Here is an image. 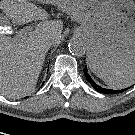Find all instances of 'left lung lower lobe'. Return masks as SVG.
Returning a JSON list of instances; mask_svg holds the SVG:
<instances>
[{"instance_id":"obj_1","label":"left lung lower lobe","mask_w":135,"mask_h":135,"mask_svg":"<svg viewBox=\"0 0 135 135\" xmlns=\"http://www.w3.org/2000/svg\"><path fill=\"white\" fill-rule=\"evenodd\" d=\"M84 75L86 77V79L88 80V82L92 85V87L97 90L98 92L100 93H104V94H117V93H120V92H124L126 90H128L129 88L127 89H122V90H112V89H105V88H102L100 86H98L93 80L92 78L90 77V75L88 74V70H87V67L84 68Z\"/></svg>"}]
</instances>
